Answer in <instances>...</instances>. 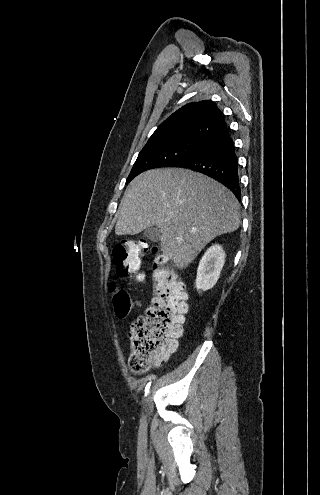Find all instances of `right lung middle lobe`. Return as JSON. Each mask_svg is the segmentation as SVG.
<instances>
[{"label": "right lung middle lobe", "instance_id": "right-lung-middle-lobe-1", "mask_svg": "<svg viewBox=\"0 0 320 495\" xmlns=\"http://www.w3.org/2000/svg\"><path fill=\"white\" fill-rule=\"evenodd\" d=\"M205 141V139L200 138H189L145 146L139 153L126 183L149 169L176 167L197 152Z\"/></svg>", "mask_w": 320, "mask_h": 495}]
</instances>
